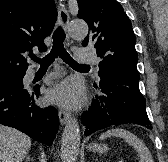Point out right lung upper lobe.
<instances>
[{
	"label": "right lung upper lobe",
	"instance_id": "cb5924a9",
	"mask_svg": "<svg viewBox=\"0 0 168 162\" xmlns=\"http://www.w3.org/2000/svg\"><path fill=\"white\" fill-rule=\"evenodd\" d=\"M57 19L54 0H0V77L24 74L27 51H46Z\"/></svg>",
	"mask_w": 168,
	"mask_h": 162
}]
</instances>
